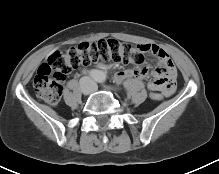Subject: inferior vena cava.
Here are the masks:
<instances>
[{
	"label": "inferior vena cava",
	"instance_id": "obj_1",
	"mask_svg": "<svg viewBox=\"0 0 219 174\" xmlns=\"http://www.w3.org/2000/svg\"><path fill=\"white\" fill-rule=\"evenodd\" d=\"M82 86L84 88V91L88 94L97 90L96 82L90 77H84L82 79Z\"/></svg>",
	"mask_w": 219,
	"mask_h": 174
}]
</instances>
